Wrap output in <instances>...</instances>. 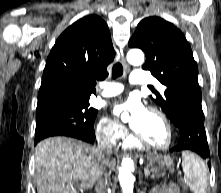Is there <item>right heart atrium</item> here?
Listing matches in <instances>:
<instances>
[{
	"label": "right heart atrium",
	"mask_w": 221,
	"mask_h": 193,
	"mask_svg": "<svg viewBox=\"0 0 221 193\" xmlns=\"http://www.w3.org/2000/svg\"><path fill=\"white\" fill-rule=\"evenodd\" d=\"M97 135L102 141L114 144L124 139L126 131L116 120L103 114L97 123Z\"/></svg>",
	"instance_id": "d8ad5b80"
}]
</instances>
